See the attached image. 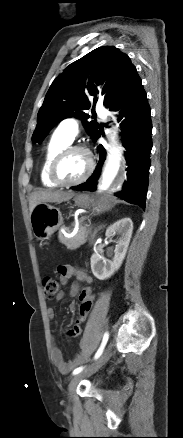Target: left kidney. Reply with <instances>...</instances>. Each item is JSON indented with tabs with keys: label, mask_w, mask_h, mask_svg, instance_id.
<instances>
[{
	"label": "left kidney",
	"mask_w": 183,
	"mask_h": 438,
	"mask_svg": "<svg viewBox=\"0 0 183 438\" xmlns=\"http://www.w3.org/2000/svg\"><path fill=\"white\" fill-rule=\"evenodd\" d=\"M133 232V222L130 218H122L111 224L106 230V237L120 235L115 248L113 261L105 259L98 253L91 256V270L99 280L110 278L121 266L130 243Z\"/></svg>",
	"instance_id": "left-kidney-1"
}]
</instances>
